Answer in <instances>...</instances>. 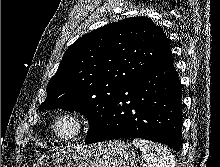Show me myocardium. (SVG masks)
I'll return each mask as SVG.
<instances>
[{"label": "myocardium", "mask_w": 220, "mask_h": 167, "mask_svg": "<svg viewBox=\"0 0 220 167\" xmlns=\"http://www.w3.org/2000/svg\"><path fill=\"white\" fill-rule=\"evenodd\" d=\"M64 121H70L73 124V130L67 135L58 132V126ZM90 130L89 118L79 110H65L58 114L51 125L52 134L60 141H76L87 134Z\"/></svg>", "instance_id": "myocardium-1"}]
</instances>
